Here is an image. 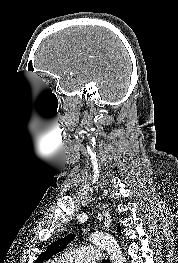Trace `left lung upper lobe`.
Returning a JSON list of instances; mask_svg holds the SVG:
<instances>
[{"label":"left lung upper lobe","instance_id":"obj_1","mask_svg":"<svg viewBox=\"0 0 178 263\" xmlns=\"http://www.w3.org/2000/svg\"><path fill=\"white\" fill-rule=\"evenodd\" d=\"M118 232H120V226H118ZM74 238L75 235L70 234L62 239L53 242L47 247L45 252L40 254L35 263H43L44 261L49 260L53 255L61 252Z\"/></svg>","mask_w":178,"mask_h":263}]
</instances>
